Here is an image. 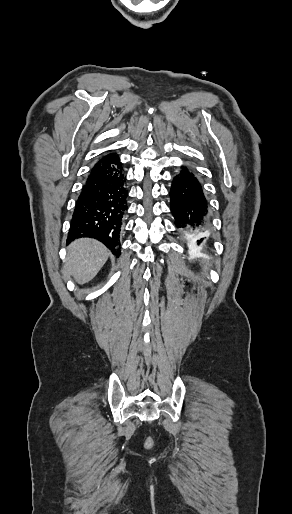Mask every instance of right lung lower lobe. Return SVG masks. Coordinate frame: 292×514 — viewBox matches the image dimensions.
Here are the masks:
<instances>
[{"mask_svg": "<svg viewBox=\"0 0 292 514\" xmlns=\"http://www.w3.org/2000/svg\"><path fill=\"white\" fill-rule=\"evenodd\" d=\"M128 188L119 158L103 156L91 169L76 201L68 240L95 238L120 255V231L126 215Z\"/></svg>", "mask_w": 292, "mask_h": 514, "instance_id": "right-lung-lower-lobe-1", "label": "right lung lower lobe"}]
</instances>
